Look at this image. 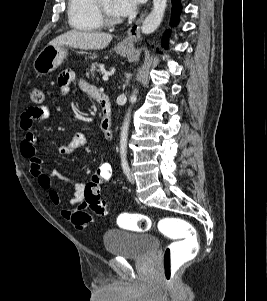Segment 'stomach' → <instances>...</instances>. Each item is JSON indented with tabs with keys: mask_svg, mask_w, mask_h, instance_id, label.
<instances>
[{
	"mask_svg": "<svg viewBox=\"0 0 267 301\" xmlns=\"http://www.w3.org/2000/svg\"><path fill=\"white\" fill-rule=\"evenodd\" d=\"M129 46L117 45L114 50L119 55H126ZM67 56V50L62 45H47L36 57L33 63L35 71L40 75H47L55 70Z\"/></svg>",
	"mask_w": 267,
	"mask_h": 301,
	"instance_id": "stomach-1",
	"label": "stomach"
}]
</instances>
